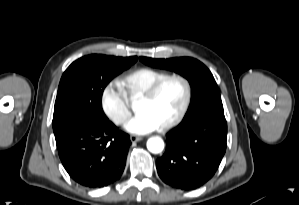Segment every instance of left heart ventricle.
Masks as SVG:
<instances>
[{"label": "left heart ventricle", "instance_id": "1", "mask_svg": "<svg viewBox=\"0 0 299 205\" xmlns=\"http://www.w3.org/2000/svg\"><path fill=\"white\" fill-rule=\"evenodd\" d=\"M184 94L183 84L178 80H171L151 101H139L136 110L138 113H148L162 126L178 113Z\"/></svg>", "mask_w": 299, "mask_h": 205}]
</instances>
